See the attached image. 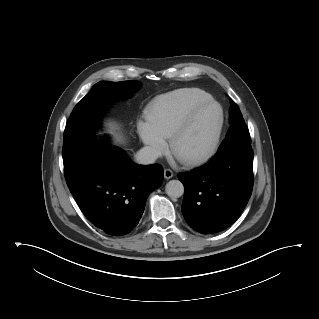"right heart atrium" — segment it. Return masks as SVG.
<instances>
[{"label":"right heart atrium","instance_id":"1","mask_svg":"<svg viewBox=\"0 0 319 319\" xmlns=\"http://www.w3.org/2000/svg\"><path fill=\"white\" fill-rule=\"evenodd\" d=\"M137 130L143 143L153 155H161L167 148L165 138L154 129L147 121L139 120Z\"/></svg>","mask_w":319,"mask_h":319}]
</instances>
